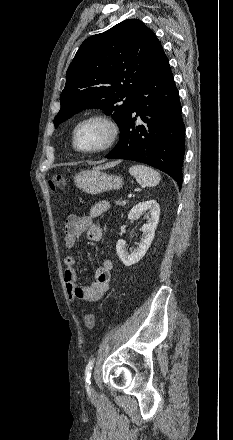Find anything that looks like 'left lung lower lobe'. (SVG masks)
<instances>
[{
    "label": "left lung lower lobe",
    "instance_id": "left-lung-lower-lobe-1",
    "mask_svg": "<svg viewBox=\"0 0 233 440\" xmlns=\"http://www.w3.org/2000/svg\"><path fill=\"white\" fill-rule=\"evenodd\" d=\"M133 112L140 115L144 124L135 125ZM184 153L181 104L163 51L135 93L129 116L120 130V140L106 158L146 163L167 173L181 187Z\"/></svg>",
    "mask_w": 233,
    "mask_h": 440
}]
</instances>
